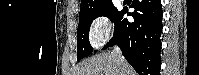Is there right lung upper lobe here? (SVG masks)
<instances>
[{"mask_svg":"<svg viewBox=\"0 0 199 75\" xmlns=\"http://www.w3.org/2000/svg\"><path fill=\"white\" fill-rule=\"evenodd\" d=\"M108 2H111V0H81V9L79 15H83Z\"/></svg>","mask_w":199,"mask_h":75,"instance_id":"cb5924a9","label":"right lung upper lobe"}]
</instances>
